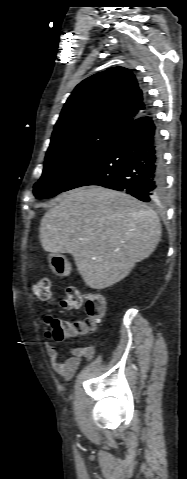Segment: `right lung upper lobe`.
<instances>
[{
	"label": "right lung upper lobe",
	"mask_w": 187,
	"mask_h": 479,
	"mask_svg": "<svg viewBox=\"0 0 187 479\" xmlns=\"http://www.w3.org/2000/svg\"><path fill=\"white\" fill-rule=\"evenodd\" d=\"M134 74L113 67L82 81L65 103L52 138L84 126L104 124L123 130L149 112Z\"/></svg>",
	"instance_id": "right-lung-upper-lobe-1"
}]
</instances>
